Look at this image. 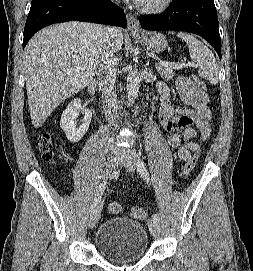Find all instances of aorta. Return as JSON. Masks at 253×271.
<instances>
[{
	"instance_id": "aorta-1",
	"label": "aorta",
	"mask_w": 253,
	"mask_h": 271,
	"mask_svg": "<svg viewBox=\"0 0 253 271\" xmlns=\"http://www.w3.org/2000/svg\"><path fill=\"white\" fill-rule=\"evenodd\" d=\"M140 87V74L138 69L130 67L127 75V97L129 103H134L138 97Z\"/></svg>"
}]
</instances>
